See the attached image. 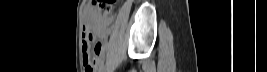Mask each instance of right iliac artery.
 I'll return each instance as SVG.
<instances>
[{"instance_id":"obj_1","label":"right iliac artery","mask_w":267,"mask_h":72,"mask_svg":"<svg viewBox=\"0 0 267 72\" xmlns=\"http://www.w3.org/2000/svg\"><path fill=\"white\" fill-rule=\"evenodd\" d=\"M103 66H104V63L101 62L100 65H99V68H98L99 72L103 69Z\"/></svg>"}]
</instances>
